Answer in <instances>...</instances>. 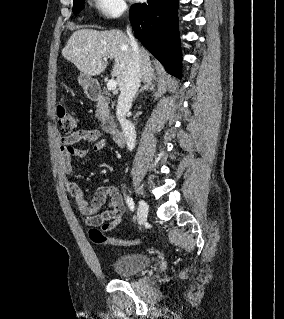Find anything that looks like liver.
Segmentation results:
<instances>
[{"label":"liver","instance_id":"obj_1","mask_svg":"<svg viewBox=\"0 0 284 319\" xmlns=\"http://www.w3.org/2000/svg\"><path fill=\"white\" fill-rule=\"evenodd\" d=\"M62 56L90 77L100 75L107 67V60L114 59L111 75L116 77L117 85L121 89L132 58V50L129 38L119 30L79 29L70 36L62 49ZM139 58L141 79L145 85L153 87L154 69L150 54L144 47L139 48Z\"/></svg>","mask_w":284,"mask_h":319}]
</instances>
